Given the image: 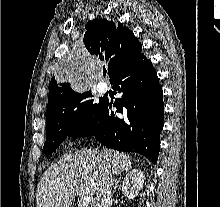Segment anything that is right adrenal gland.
I'll use <instances>...</instances> for the list:
<instances>
[{
    "label": "right adrenal gland",
    "instance_id": "1",
    "mask_svg": "<svg viewBox=\"0 0 220 207\" xmlns=\"http://www.w3.org/2000/svg\"><path fill=\"white\" fill-rule=\"evenodd\" d=\"M121 176L122 174H119L118 177H116V179L114 180V190H116L118 188L119 182L121 180Z\"/></svg>",
    "mask_w": 220,
    "mask_h": 207
}]
</instances>
